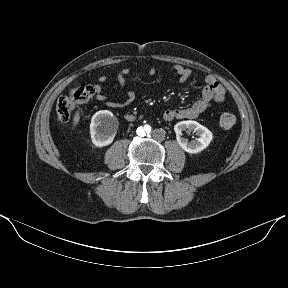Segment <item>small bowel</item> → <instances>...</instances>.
I'll use <instances>...</instances> for the list:
<instances>
[{
	"instance_id": "obj_1",
	"label": "small bowel",
	"mask_w": 288,
	"mask_h": 288,
	"mask_svg": "<svg viewBox=\"0 0 288 288\" xmlns=\"http://www.w3.org/2000/svg\"><path fill=\"white\" fill-rule=\"evenodd\" d=\"M173 71L178 77L180 83L188 81L192 76V71L182 65H173ZM130 73V69H122L117 74V82L121 87L126 86V76ZM149 75L155 74V69L149 70ZM108 81L106 76H100L98 78V84L94 85L95 98L98 101L104 102L106 106L111 108H121L135 99V95L132 91H128L125 94L123 102H117L110 100L104 93L102 84ZM226 95V90L221 83L217 81L214 76H207L205 78V86L202 91L201 98L186 108L168 109L164 111L162 118L164 121L170 122L177 119H195L199 117L206 109H208L212 103L220 104L223 102Z\"/></svg>"
}]
</instances>
